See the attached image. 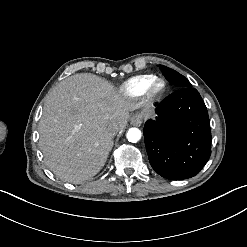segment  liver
Masks as SVG:
<instances>
[{"mask_svg": "<svg viewBox=\"0 0 247 247\" xmlns=\"http://www.w3.org/2000/svg\"><path fill=\"white\" fill-rule=\"evenodd\" d=\"M139 106L112 83L91 73L61 81L49 94L39 121L45 164L60 179L79 183L95 176L113 147L109 128H126Z\"/></svg>", "mask_w": 247, "mask_h": 247, "instance_id": "obj_1", "label": "liver"}]
</instances>
